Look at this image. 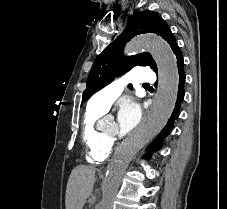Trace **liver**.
<instances>
[{"mask_svg": "<svg viewBox=\"0 0 227 209\" xmlns=\"http://www.w3.org/2000/svg\"><path fill=\"white\" fill-rule=\"evenodd\" d=\"M94 173V167H86V165H78L73 169L67 183L66 209H82L92 191Z\"/></svg>", "mask_w": 227, "mask_h": 209, "instance_id": "liver-1", "label": "liver"}]
</instances>
